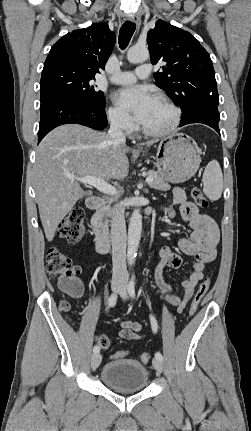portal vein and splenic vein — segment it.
I'll return each mask as SVG.
<instances>
[{"label": "portal vein and splenic vein", "instance_id": "obj_1", "mask_svg": "<svg viewBox=\"0 0 251 431\" xmlns=\"http://www.w3.org/2000/svg\"><path fill=\"white\" fill-rule=\"evenodd\" d=\"M70 178L72 180H77L80 183L91 185L95 187L97 190H99L100 192L107 195L114 196L118 193L117 189L114 186L107 183L103 179H100L94 176L70 177ZM152 181H153V177L148 176L146 178V183L150 184Z\"/></svg>", "mask_w": 251, "mask_h": 431}]
</instances>
